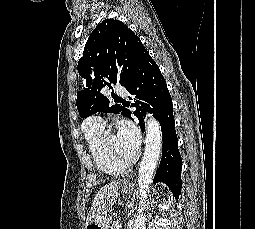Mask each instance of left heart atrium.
Masks as SVG:
<instances>
[{
    "mask_svg": "<svg viewBox=\"0 0 255 229\" xmlns=\"http://www.w3.org/2000/svg\"><path fill=\"white\" fill-rule=\"evenodd\" d=\"M117 139L132 154L137 153L140 144V135L134 125L129 122H122L118 127Z\"/></svg>",
    "mask_w": 255,
    "mask_h": 229,
    "instance_id": "1",
    "label": "left heart atrium"
}]
</instances>
